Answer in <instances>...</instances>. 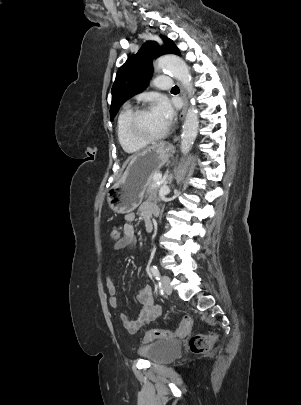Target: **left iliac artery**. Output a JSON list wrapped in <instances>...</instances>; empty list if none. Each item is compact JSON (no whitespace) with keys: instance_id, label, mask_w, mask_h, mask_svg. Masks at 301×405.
Listing matches in <instances>:
<instances>
[{"instance_id":"obj_1","label":"left iliac artery","mask_w":301,"mask_h":405,"mask_svg":"<svg viewBox=\"0 0 301 405\" xmlns=\"http://www.w3.org/2000/svg\"><path fill=\"white\" fill-rule=\"evenodd\" d=\"M151 273L156 278V280L159 281L160 293L163 294V290L161 289V282H160V272L155 265L151 266Z\"/></svg>"}]
</instances>
